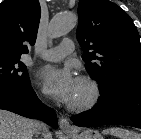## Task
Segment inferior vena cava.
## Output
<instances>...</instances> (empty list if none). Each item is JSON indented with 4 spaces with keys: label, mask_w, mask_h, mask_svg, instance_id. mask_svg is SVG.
I'll list each match as a JSON object with an SVG mask.
<instances>
[{
    "label": "inferior vena cava",
    "mask_w": 141,
    "mask_h": 139,
    "mask_svg": "<svg viewBox=\"0 0 141 139\" xmlns=\"http://www.w3.org/2000/svg\"><path fill=\"white\" fill-rule=\"evenodd\" d=\"M38 131H42V135H43L44 139L51 138L50 137L51 133L49 132V130L47 129L45 124L39 123Z\"/></svg>",
    "instance_id": "obj_1"
}]
</instances>
